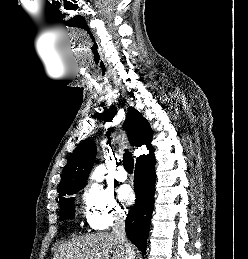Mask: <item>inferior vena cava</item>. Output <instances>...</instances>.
<instances>
[{"instance_id": "obj_1", "label": "inferior vena cava", "mask_w": 248, "mask_h": 259, "mask_svg": "<svg viewBox=\"0 0 248 259\" xmlns=\"http://www.w3.org/2000/svg\"><path fill=\"white\" fill-rule=\"evenodd\" d=\"M112 234L115 235L122 244H124L126 259H135L134 252L126 239L124 214H118L115 217V221L112 227Z\"/></svg>"}]
</instances>
